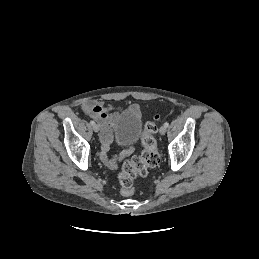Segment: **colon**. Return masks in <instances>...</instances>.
Here are the masks:
<instances>
[{
    "label": "colon",
    "instance_id": "5ec220e1",
    "mask_svg": "<svg viewBox=\"0 0 259 259\" xmlns=\"http://www.w3.org/2000/svg\"><path fill=\"white\" fill-rule=\"evenodd\" d=\"M158 116H155L145 125V131L142 136L143 151L141 155L134 156L124 162L119 173L120 193L124 197H130L134 194V179L138 176H145L150 168L159 164L160 155L157 149V143L154 134L157 131Z\"/></svg>",
    "mask_w": 259,
    "mask_h": 259
}]
</instances>
